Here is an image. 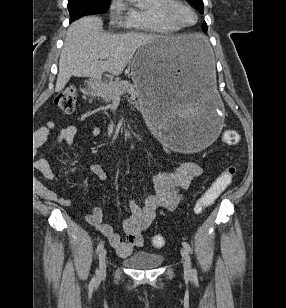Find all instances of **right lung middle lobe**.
I'll return each instance as SVG.
<instances>
[{"label": "right lung middle lobe", "instance_id": "1", "mask_svg": "<svg viewBox=\"0 0 286 308\" xmlns=\"http://www.w3.org/2000/svg\"><path fill=\"white\" fill-rule=\"evenodd\" d=\"M111 0H69L68 10L70 12V21L84 15L105 13Z\"/></svg>", "mask_w": 286, "mask_h": 308}]
</instances>
